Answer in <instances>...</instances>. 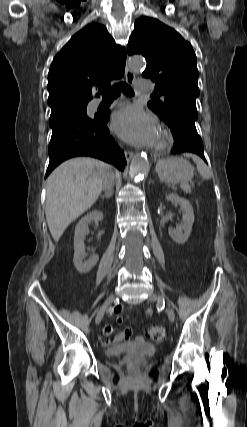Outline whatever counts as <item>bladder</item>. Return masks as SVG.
I'll return each mask as SVG.
<instances>
[{"instance_id": "31cf9c89", "label": "bladder", "mask_w": 247, "mask_h": 427, "mask_svg": "<svg viewBox=\"0 0 247 427\" xmlns=\"http://www.w3.org/2000/svg\"><path fill=\"white\" fill-rule=\"evenodd\" d=\"M125 352H135L140 355H154L157 352V347L153 344H133V343H122L109 346L106 349V354L109 357H117Z\"/></svg>"}]
</instances>
